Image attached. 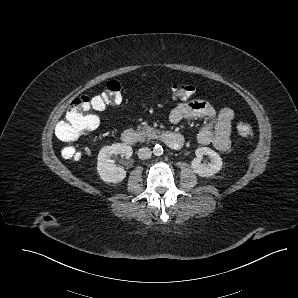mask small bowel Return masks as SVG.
Wrapping results in <instances>:
<instances>
[{"mask_svg": "<svg viewBox=\"0 0 298 298\" xmlns=\"http://www.w3.org/2000/svg\"><path fill=\"white\" fill-rule=\"evenodd\" d=\"M204 118L206 120L197 132V140L202 145H213L221 152L231 147L232 122L234 111L229 107L216 110L209 102L201 99L183 102L173 108L169 120L177 124L184 119Z\"/></svg>", "mask_w": 298, "mask_h": 298, "instance_id": "obj_1", "label": "small bowel"}]
</instances>
